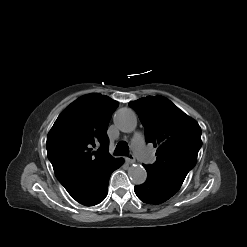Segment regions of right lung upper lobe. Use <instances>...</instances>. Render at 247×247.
<instances>
[{"instance_id":"1","label":"right lung upper lobe","mask_w":247,"mask_h":247,"mask_svg":"<svg viewBox=\"0 0 247 247\" xmlns=\"http://www.w3.org/2000/svg\"><path fill=\"white\" fill-rule=\"evenodd\" d=\"M118 102L93 93L71 103L48 133L46 147L54 172L71 195L117 159L106 134Z\"/></svg>"}]
</instances>
